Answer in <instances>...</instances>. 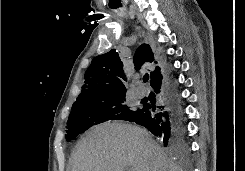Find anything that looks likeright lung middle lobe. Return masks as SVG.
Listing matches in <instances>:
<instances>
[{
    "mask_svg": "<svg viewBox=\"0 0 245 171\" xmlns=\"http://www.w3.org/2000/svg\"><path fill=\"white\" fill-rule=\"evenodd\" d=\"M140 109H132L125 104V93L75 101L68 119V131L65 135L68 142L91 126L108 120L131 121Z\"/></svg>",
    "mask_w": 245,
    "mask_h": 171,
    "instance_id": "obj_1",
    "label": "right lung middle lobe"
}]
</instances>
